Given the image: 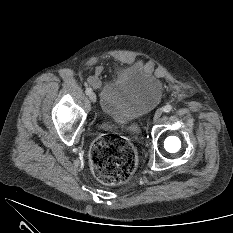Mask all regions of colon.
<instances>
[{
	"instance_id": "obj_1",
	"label": "colon",
	"mask_w": 233,
	"mask_h": 233,
	"mask_svg": "<svg viewBox=\"0 0 233 233\" xmlns=\"http://www.w3.org/2000/svg\"><path fill=\"white\" fill-rule=\"evenodd\" d=\"M90 163L100 182L118 185L132 176L137 166V158L126 138L116 134H104L91 145Z\"/></svg>"
}]
</instances>
